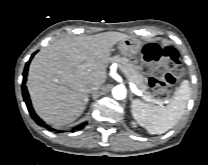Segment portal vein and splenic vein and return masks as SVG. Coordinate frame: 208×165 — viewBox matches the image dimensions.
Wrapping results in <instances>:
<instances>
[{
  "label": "portal vein and splenic vein",
  "mask_w": 208,
  "mask_h": 165,
  "mask_svg": "<svg viewBox=\"0 0 208 165\" xmlns=\"http://www.w3.org/2000/svg\"><path fill=\"white\" fill-rule=\"evenodd\" d=\"M129 85H130V89H131V91L134 93V94H136V95H138V96H140V97H143V99H145L146 101H153V102H156V103H159V102H157V101H154V100H152V99H150L149 97H147V96H145L137 87H136V85L134 84V82L133 81H129Z\"/></svg>",
  "instance_id": "1"
}]
</instances>
